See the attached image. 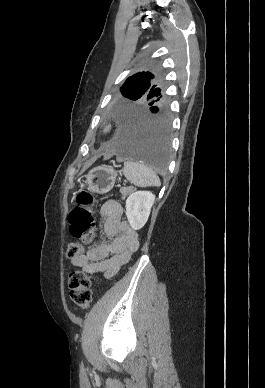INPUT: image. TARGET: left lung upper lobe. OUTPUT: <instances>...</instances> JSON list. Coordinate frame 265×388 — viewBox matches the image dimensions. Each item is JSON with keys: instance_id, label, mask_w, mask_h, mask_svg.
<instances>
[{"instance_id": "5c2ea615", "label": "left lung upper lobe", "mask_w": 265, "mask_h": 388, "mask_svg": "<svg viewBox=\"0 0 265 388\" xmlns=\"http://www.w3.org/2000/svg\"><path fill=\"white\" fill-rule=\"evenodd\" d=\"M159 80L151 72H139L129 77L120 91L126 100L117 109H144L153 106H165L167 97L159 87Z\"/></svg>"}]
</instances>
